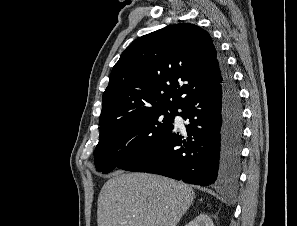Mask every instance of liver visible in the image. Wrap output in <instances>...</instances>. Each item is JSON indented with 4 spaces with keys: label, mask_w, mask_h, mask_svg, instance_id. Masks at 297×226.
<instances>
[{
    "label": "liver",
    "mask_w": 297,
    "mask_h": 226,
    "mask_svg": "<svg viewBox=\"0 0 297 226\" xmlns=\"http://www.w3.org/2000/svg\"><path fill=\"white\" fill-rule=\"evenodd\" d=\"M194 198V190L185 183L118 171L100 191L97 225L176 226Z\"/></svg>",
    "instance_id": "liver-1"
}]
</instances>
